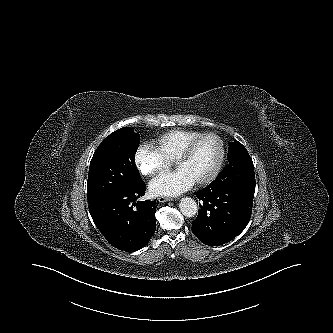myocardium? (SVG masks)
<instances>
[{"instance_id": "obj_1", "label": "myocardium", "mask_w": 333, "mask_h": 333, "mask_svg": "<svg viewBox=\"0 0 333 333\" xmlns=\"http://www.w3.org/2000/svg\"><path fill=\"white\" fill-rule=\"evenodd\" d=\"M206 137H213L218 141L219 146H220V154H219L217 163H216L215 167L213 168V170L211 171V173L204 179H201V180L195 182L199 186H205V185L212 183L220 174L222 166L224 164L225 154H226L225 145H224L223 140L217 134H215L213 132L202 133V134L198 135L197 137H195L194 139H192L191 141H189L186 144V146L183 148L181 153L178 155V157L175 159V165L178 166L181 162L186 160L191 155V153L193 152L196 145L202 139H204Z\"/></svg>"}]
</instances>
